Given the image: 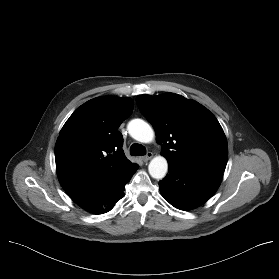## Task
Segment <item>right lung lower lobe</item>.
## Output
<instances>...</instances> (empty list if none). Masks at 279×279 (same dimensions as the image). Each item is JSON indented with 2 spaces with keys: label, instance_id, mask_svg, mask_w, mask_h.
Wrapping results in <instances>:
<instances>
[{
  "label": "right lung lower lobe",
  "instance_id": "right-lung-lower-lobe-1",
  "mask_svg": "<svg viewBox=\"0 0 279 279\" xmlns=\"http://www.w3.org/2000/svg\"><path fill=\"white\" fill-rule=\"evenodd\" d=\"M133 169L122 175L111 184L88 194L72 199L76 204L94 214H103L110 211L118 200L124 197V186L138 169Z\"/></svg>",
  "mask_w": 279,
  "mask_h": 279
}]
</instances>
